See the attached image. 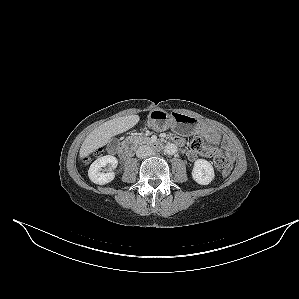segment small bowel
<instances>
[{
	"label": "small bowel",
	"instance_id": "obj_1",
	"mask_svg": "<svg viewBox=\"0 0 299 299\" xmlns=\"http://www.w3.org/2000/svg\"><path fill=\"white\" fill-rule=\"evenodd\" d=\"M208 137L212 140V141H215V140H217V134L214 132V131H210L209 132V134H208ZM173 141L176 143V144H178V145H180V146H182L183 145V139L181 138V137H179V136H176V135H174L173 137ZM209 149H214V147L213 146H207ZM226 152H227V154H228V156L230 157V158H232V151H231V149L229 148V147H226ZM186 155L188 156V158L190 159V160H195L197 157H198V155H201V156H205V157H210V155H208V154H204V153H199V152H197V151H195V150H193V149H189V150H187L186 151Z\"/></svg>",
	"mask_w": 299,
	"mask_h": 299
}]
</instances>
